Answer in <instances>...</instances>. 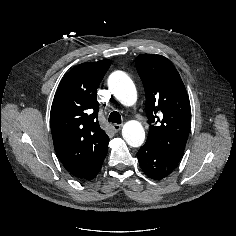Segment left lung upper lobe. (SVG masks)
<instances>
[{
    "label": "left lung upper lobe",
    "instance_id": "5c2ea615",
    "mask_svg": "<svg viewBox=\"0 0 236 236\" xmlns=\"http://www.w3.org/2000/svg\"><path fill=\"white\" fill-rule=\"evenodd\" d=\"M136 68L146 95L149 134L145 145L179 162L188 139L191 108L174 65L162 55L141 54Z\"/></svg>",
    "mask_w": 236,
    "mask_h": 236
}]
</instances>
